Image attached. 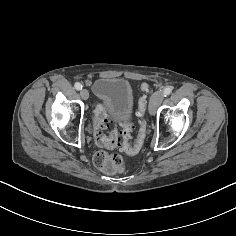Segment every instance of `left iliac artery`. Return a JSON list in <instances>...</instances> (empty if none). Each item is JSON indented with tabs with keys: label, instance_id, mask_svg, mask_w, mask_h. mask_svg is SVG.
Listing matches in <instances>:
<instances>
[{
	"label": "left iliac artery",
	"instance_id": "1",
	"mask_svg": "<svg viewBox=\"0 0 236 236\" xmlns=\"http://www.w3.org/2000/svg\"><path fill=\"white\" fill-rule=\"evenodd\" d=\"M163 92H164V96L166 97V96L170 95V93L172 92V88L166 87Z\"/></svg>",
	"mask_w": 236,
	"mask_h": 236
}]
</instances>
